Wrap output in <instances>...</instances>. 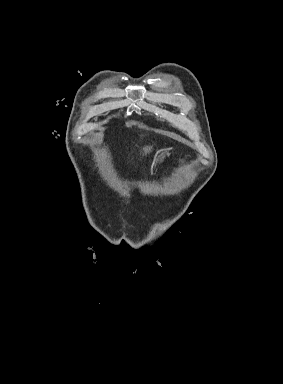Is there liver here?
Masks as SVG:
<instances>
[{
	"label": "liver",
	"mask_w": 283,
	"mask_h": 384,
	"mask_svg": "<svg viewBox=\"0 0 283 384\" xmlns=\"http://www.w3.org/2000/svg\"><path fill=\"white\" fill-rule=\"evenodd\" d=\"M144 152H146V154H147V152H151V148H148V146H147V148H144Z\"/></svg>",
	"instance_id": "1"
}]
</instances>
